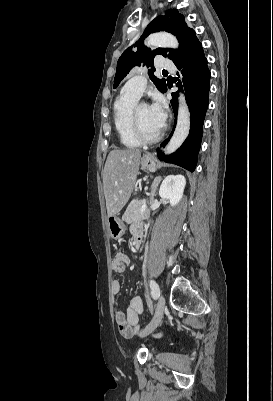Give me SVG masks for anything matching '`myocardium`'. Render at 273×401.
Returning a JSON list of instances; mask_svg holds the SVG:
<instances>
[{"label":"myocardium","instance_id":"myocardium-1","mask_svg":"<svg viewBox=\"0 0 273 401\" xmlns=\"http://www.w3.org/2000/svg\"><path fill=\"white\" fill-rule=\"evenodd\" d=\"M140 104H136L131 110V129L134 136L145 144H152L157 142L163 134V130H160L158 133L154 135H147L141 128L138 118L137 111Z\"/></svg>","mask_w":273,"mask_h":401}]
</instances>
